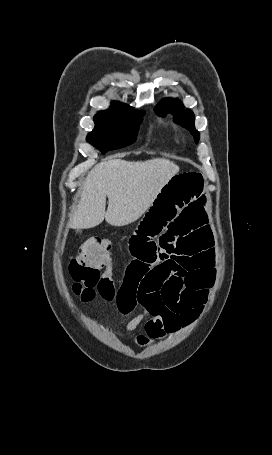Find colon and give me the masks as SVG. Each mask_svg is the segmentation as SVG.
<instances>
[{
    "instance_id": "5ec220e1",
    "label": "colon",
    "mask_w": 272,
    "mask_h": 455,
    "mask_svg": "<svg viewBox=\"0 0 272 455\" xmlns=\"http://www.w3.org/2000/svg\"><path fill=\"white\" fill-rule=\"evenodd\" d=\"M114 263L111 242L101 237H91L80 247L79 253L69 264L74 280L72 290L83 303L91 302L98 293L106 300L117 294L111 270ZM104 269L105 272L100 271Z\"/></svg>"
}]
</instances>
